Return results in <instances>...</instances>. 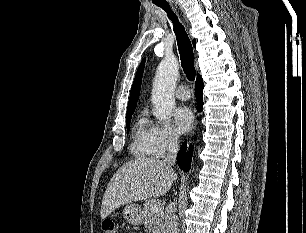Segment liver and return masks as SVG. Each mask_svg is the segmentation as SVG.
I'll use <instances>...</instances> for the list:
<instances>
[{
	"label": "liver",
	"instance_id": "6515ba94",
	"mask_svg": "<svg viewBox=\"0 0 306 233\" xmlns=\"http://www.w3.org/2000/svg\"><path fill=\"white\" fill-rule=\"evenodd\" d=\"M176 178L172 167L162 160L138 158L126 163L105 190L101 218L105 219L122 205L166 194Z\"/></svg>",
	"mask_w": 306,
	"mask_h": 233
}]
</instances>
